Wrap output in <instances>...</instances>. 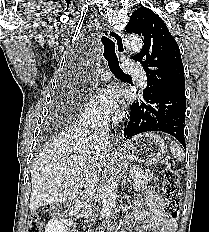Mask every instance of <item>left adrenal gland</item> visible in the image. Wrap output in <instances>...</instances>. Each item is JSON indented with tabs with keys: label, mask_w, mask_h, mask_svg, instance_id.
Instances as JSON below:
<instances>
[{
	"label": "left adrenal gland",
	"mask_w": 209,
	"mask_h": 232,
	"mask_svg": "<svg viewBox=\"0 0 209 232\" xmlns=\"http://www.w3.org/2000/svg\"><path fill=\"white\" fill-rule=\"evenodd\" d=\"M127 181L129 182V178H128L127 173H126L123 177V180H122V187H125Z\"/></svg>",
	"instance_id": "left-adrenal-gland-1"
}]
</instances>
